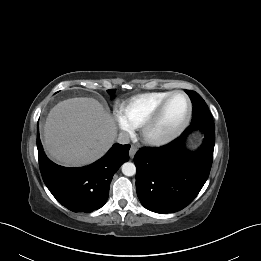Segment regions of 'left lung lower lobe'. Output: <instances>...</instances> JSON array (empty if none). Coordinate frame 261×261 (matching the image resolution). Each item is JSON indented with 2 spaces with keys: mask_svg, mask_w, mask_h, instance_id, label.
<instances>
[{
  "mask_svg": "<svg viewBox=\"0 0 261 261\" xmlns=\"http://www.w3.org/2000/svg\"><path fill=\"white\" fill-rule=\"evenodd\" d=\"M204 132L201 148L184 149L193 130ZM215 125H190L175 140L159 148H142L134 157L136 190L142 205L156 213L179 211L189 205L205 184L212 165Z\"/></svg>",
  "mask_w": 261,
  "mask_h": 261,
  "instance_id": "1",
  "label": "left lung lower lobe"
}]
</instances>
